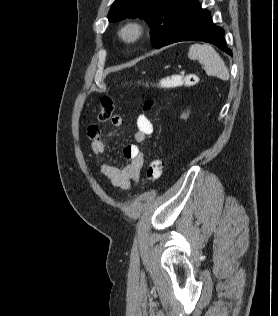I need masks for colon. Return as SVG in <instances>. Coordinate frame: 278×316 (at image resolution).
<instances>
[{
	"instance_id": "obj_1",
	"label": "colon",
	"mask_w": 278,
	"mask_h": 316,
	"mask_svg": "<svg viewBox=\"0 0 278 316\" xmlns=\"http://www.w3.org/2000/svg\"><path fill=\"white\" fill-rule=\"evenodd\" d=\"M197 76L195 74H187L182 77H170L164 81V85H181L185 87L194 86L197 83ZM139 84H144L139 82ZM156 101L154 99H148L145 102L144 110L149 111L154 105ZM114 102L113 99L109 96H105L101 99V108L98 112L90 115V119L98 122L104 123L108 121L113 112ZM164 169V161L160 158H153L147 168V179L150 182H156L162 176Z\"/></svg>"
}]
</instances>
